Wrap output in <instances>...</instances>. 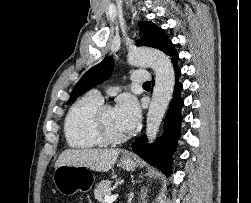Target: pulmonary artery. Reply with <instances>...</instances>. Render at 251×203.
<instances>
[{
    "label": "pulmonary artery",
    "instance_id": "obj_1",
    "mask_svg": "<svg viewBox=\"0 0 251 203\" xmlns=\"http://www.w3.org/2000/svg\"><path fill=\"white\" fill-rule=\"evenodd\" d=\"M148 79H149V74L143 71H135L131 75V81L133 83H145L148 81ZM90 93L102 99L101 93L98 90H92Z\"/></svg>",
    "mask_w": 251,
    "mask_h": 203
}]
</instances>
